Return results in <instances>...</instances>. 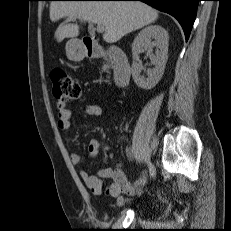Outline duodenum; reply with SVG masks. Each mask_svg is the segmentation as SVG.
Listing matches in <instances>:
<instances>
[{
    "label": "duodenum",
    "instance_id": "410a0bca",
    "mask_svg": "<svg viewBox=\"0 0 231 231\" xmlns=\"http://www.w3.org/2000/svg\"><path fill=\"white\" fill-rule=\"evenodd\" d=\"M82 51L86 57H106L113 66V77L118 87H124L129 83L130 65L120 48L111 46L105 50L99 43L87 37L83 39Z\"/></svg>",
    "mask_w": 231,
    "mask_h": 231
}]
</instances>
